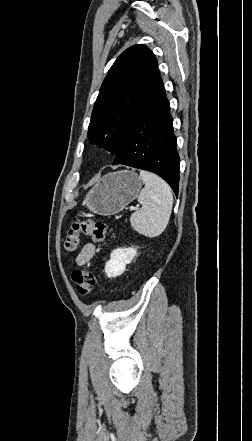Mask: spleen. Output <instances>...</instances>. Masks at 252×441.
<instances>
[{
  "label": "spleen",
  "mask_w": 252,
  "mask_h": 441,
  "mask_svg": "<svg viewBox=\"0 0 252 441\" xmlns=\"http://www.w3.org/2000/svg\"><path fill=\"white\" fill-rule=\"evenodd\" d=\"M145 186L138 201L142 208L133 213L130 223L134 230L149 238L157 237L166 229L173 207L170 186L157 175L141 170Z\"/></svg>",
  "instance_id": "3e777b00"
}]
</instances>
